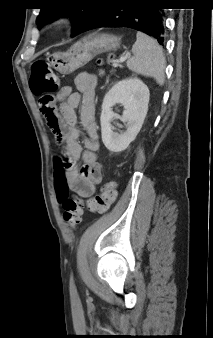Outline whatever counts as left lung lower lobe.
<instances>
[{"instance_id":"1","label":"left lung lower lobe","mask_w":213,"mask_h":338,"mask_svg":"<svg viewBox=\"0 0 213 338\" xmlns=\"http://www.w3.org/2000/svg\"><path fill=\"white\" fill-rule=\"evenodd\" d=\"M154 0H104L83 30L122 26L142 31L163 45L164 13Z\"/></svg>"}]
</instances>
